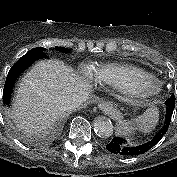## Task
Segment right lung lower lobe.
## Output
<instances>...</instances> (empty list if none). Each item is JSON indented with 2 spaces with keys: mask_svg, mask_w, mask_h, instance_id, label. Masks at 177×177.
Segmentation results:
<instances>
[{
  "mask_svg": "<svg viewBox=\"0 0 177 177\" xmlns=\"http://www.w3.org/2000/svg\"><path fill=\"white\" fill-rule=\"evenodd\" d=\"M42 58H48L43 52L42 53H32L28 52L23 57H21L10 69L4 90H3V102L9 105L10 97L12 93V88L16 78L27 69L34 61Z\"/></svg>",
  "mask_w": 177,
  "mask_h": 177,
  "instance_id": "1",
  "label": "right lung lower lobe"
}]
</instances>
